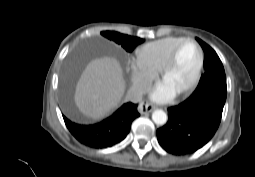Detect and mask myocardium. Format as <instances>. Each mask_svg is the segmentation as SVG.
Masks as SVG:
<instances>
[{
  "instance_id": "obj_1",
  "label": "myocardium",
  "mask_w": 255,
  "mask_h": 177,
  "mask_svg": "<svg viewBox=\"0 0 255 177\" xmlns=\"http://www.w3.org/2000/svg\"><path fill=\"white\" fill-rule=\"evenodd\" d=\"M187 43L193 44L196 47V49L198 50L199 64H198L196 74H195L194 78L192 79V81L186 87H184L183 89L178 91L177 92L178 95H186V94L190 93L191 91H193L196 88V86L200 82V79H201V76L203 73V68H204V52H203L201 46L195 40H193L191 38H185L183 41H181L179 44H177L176 47L173 49L169 59L166 61V63L162 67L161 73H160L161 78L164 80V78L169 73V71L174 67V65L177 61L179 51Z\"/></svg>"
}]
</instances>
